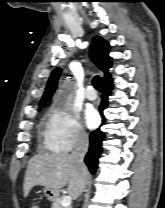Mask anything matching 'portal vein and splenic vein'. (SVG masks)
<instances>
[{
    "instance_id": "1",
    "label": "portal vein and splenic vein",
    "mask_w": 165,
    "mask_h": 208,
    "mask_svg": "<svg viewBox=\"0 0 165 208\" xmlns=\"http://www.w3.org/2000/svg\"><path fill=\"white\" fill-rule=\"evenodd\" d=\"M71 202H72L71 196H65V197H63V199L61 201V205H62V207H67L71 204Z\"/></svg>"
}]
</instances>
